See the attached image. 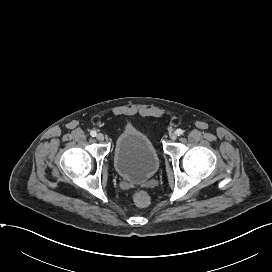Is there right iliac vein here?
Listing matches in <instances>:
<instances>
[{
  "mask_svg": "<svg viewBox=\"0 0 272 272\" xmlns=\"http://www.w3.org/2000/svg\"><path fill=\"white\" fill-rule=\"evenodd\" d=\"M96 139L99 140V141H103L104 140V135L102 133H98L96 135Z\"/></svg>",
  "mask_w": 272,
  "mask_h": 272,
  "instance_id": "63e3f726",
  "label": "right iliac vein"
}]
</instances>
